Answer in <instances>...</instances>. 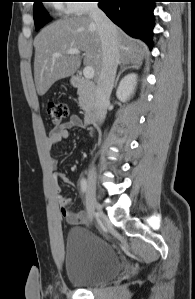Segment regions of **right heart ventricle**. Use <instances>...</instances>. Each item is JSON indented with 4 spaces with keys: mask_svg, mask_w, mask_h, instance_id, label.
I'll return each instance as SVG.
<instances>
[{
    "mask_svg": "<svg viewBox=\"0 0 195 299\" xmlns=\"http://www.w3.org/2000/svg\"><path fill=\"white\" fill-rule=\"evenodd\" d=\"M60 8H64L62 5L59 6ZM66 13V12H65Z\"/></svg>",
    "mask_w": 195,
    "mask_h": 299,
    "instance_id": "1",
    "label": "right heart ventricle"
}]
</instances>
